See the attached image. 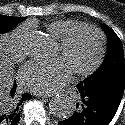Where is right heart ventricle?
Segmentation results:
<instances>
[{"label": "right heart ventricle", "mask_w": 125, "mask_h": 125, "mask_svg": "<svg viewBox=\"0 0 125 125\" xmlns=\"http://www.w3.org/2000/svg\"><path fill=\"white\" fill-rule=\"evenodd\" d=\"M82 24L74 19H56L46 24L47 32L56 40L62 39L72 28Z\"/></svg>", "instance_id": "obj_1"}]
</instances>
